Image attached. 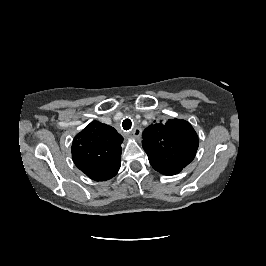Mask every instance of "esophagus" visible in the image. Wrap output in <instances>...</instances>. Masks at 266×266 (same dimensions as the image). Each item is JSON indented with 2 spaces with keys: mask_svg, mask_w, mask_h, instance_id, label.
<instances>
[{
  "mask_svg": "<svg viewBox=\"0 0 266 266\" xmlns=\"http://www.w3.org/2000/svg\"><path fill=\"white\" fill-rule=\"evenodd\" d=\"M141 134H142V130L139 127L134 128L133 131H132V135L135 138H140Z\"/></svg>",
  "mask_w": 266,
  "mask_h": 266,
  "instance_id": "esophagus-1",
  "label": "esophagus"
}]
</instances>
